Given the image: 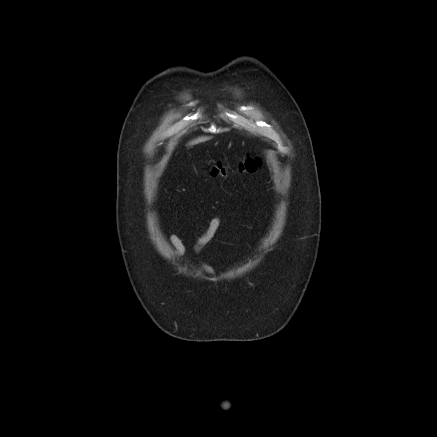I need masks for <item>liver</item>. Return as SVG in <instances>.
Returning a JSON list of instances; mask_svg holds the SVG:
<instances>
[{"label": "liver", "mask_w": 437, "mask_h": 437, "mask_svg": "<svg viewBox=\"0 0 437 437\" xmlns=\"http://www.w3.org/2000/svg\"><path fill=\"white\" fill-rule=\"evenodd\" d=\"M209 139H210V137H199V138H197V139L191 141V142L189 143V145H190V146H193V145L199 144V143H201V142H205V141H207V140H209Z\"/></svg>", "instance_id": "6515ba94"}]
</instances>
